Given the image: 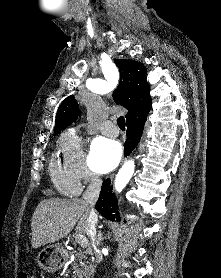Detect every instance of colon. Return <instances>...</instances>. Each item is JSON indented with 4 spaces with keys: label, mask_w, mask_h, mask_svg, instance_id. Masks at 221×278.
<instances>
[{
    "label": "colon",
    "mask_w": 221,
    "mask_h": 278,
    "mask_svg": "<svg viewBox=\"0 0 221 278\" xmlns=\"http://www.w3.org/2000/svg\"><path fill=\"white\" fill-rule=\"evenodd\" d=\"M19 278H34V276L26 272H21Z\"/></svg>",
    "instance_id": "5ec220e1"
}]
</instances>
